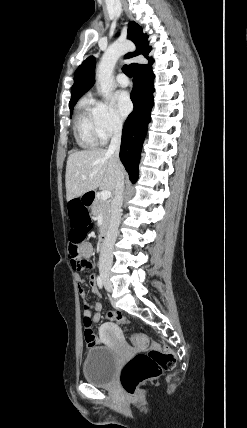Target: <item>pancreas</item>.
<instances>
[{
	"label": "pancreas",
	"mask_w": 247,
	"mask_h": 428,
	"mask_svg": "<svg viewBox=\"0 0 247 428\" xmlns=\"http://www.w3.org/2000/svg\"><path fill=\"white\" fill-rule=\"evenodd\" d=\"M92 214L97 217L98 215H102L103 224L101 229H104L110 218V203L109 201L102 200L100 196H98L92 206Z\"/></svg>",
	"instance_id": "1"
}]
</instances>
